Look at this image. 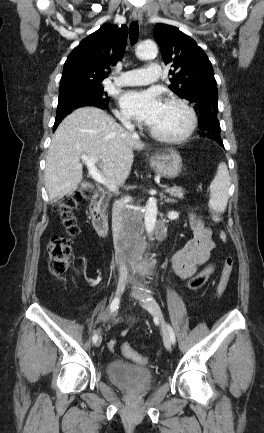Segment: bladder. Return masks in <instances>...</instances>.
<instances>
[{"instance_id":"1","label":"bladder","mask_w":264,"mask_h":433,"mask_svg":"<svg viewBox=\"0 0 264 433\" xmlns=\"http://www.w3.org/2000/svg\"><path fill=\"white\" fill-rule=\"evenodd\" d=\"M107 374L114 385L130 393H146L153 383L150 372L121 362L110 363Z\"/></svg>"}]
</instances>
